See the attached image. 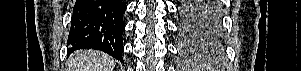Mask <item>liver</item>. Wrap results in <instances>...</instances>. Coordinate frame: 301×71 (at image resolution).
Returning a JSON list of instances; mask_svg holds the SVG:
<instances>
[{
    "mask_svg": "<svg viewBox=\"0 0 301 71\" xmlns=\"http://www.w3.org/2000/svg\"><path fill=\"white\" fill-rule=\"evenodd\" d=\"M71 71H113L115 60L96 50H83L73 54L69 59Z\"/></svg>",
    "mask_w": 301,
    "mask_h": 71,
    "instance_id": "obj_1",
    "label": "liver"
}]
</instances>
